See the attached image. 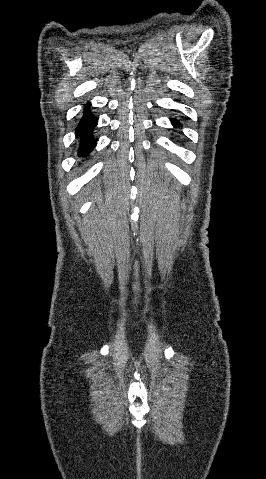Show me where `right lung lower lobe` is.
<instances>
[{
  "label": "right lung lower lobe",
  "instance_id": "1",
  "mask_svg": "<svg viewBox=\"0 0 266 479\" xmlns=\"http://www.w3.org/2000/svg\"><path fill=\"white\" fill-rule=\"evenodd\" d=\"M89 105L90 104L87 103L85 106L83 117L75 130L79 142L77 154L81 158H87L97 142V139L93 136V130L97 125L98 119L92 115Z\"/></svg>",
  "mask_w": 266,
  "mask_h": 479
}]
</instances>
